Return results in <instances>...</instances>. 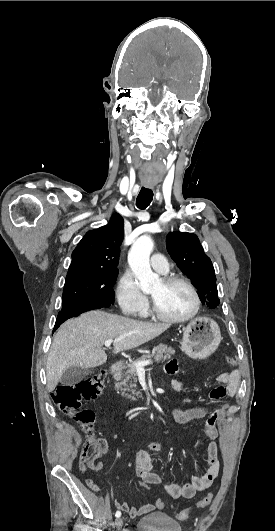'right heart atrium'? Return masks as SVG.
Instances as JSON below:
<instances>
[{
	"label": "right heart atrium",
	"instance_id": "d8ad5b80",
	"mask_svg": "<svg viewBox=\"0 0 275 531\" xmlns=\"http://www.w3.org/2000/svg\"><path fill=\"white\" fill-rule=\"evenodd\" d=\"M117 297L122 311L132 317H142L149 309L148 297L138 288L133 275L124 273L118 282Z\"/></svg>",
	"mask_w": 275,
	"mask_h": 531
}]
</instances>
